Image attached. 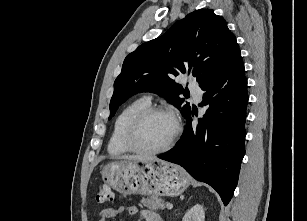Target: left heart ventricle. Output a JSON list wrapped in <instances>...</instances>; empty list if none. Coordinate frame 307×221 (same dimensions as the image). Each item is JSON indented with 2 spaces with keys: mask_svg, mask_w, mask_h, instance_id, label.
Masks as SVG:
<instances>
[{
  "mask_svg": "<svg viewBox=\"0 0 307 221\" xmlns=\"http://www.w3.org/2000/svg\"><path fill=\"white\" fill-rule=\"evenodd\" d=\"M175 129L174 120L165 114H154L141 124L136 142L145 149H156L163 146L172 136Z\"/></svg>",
  "mask_w": 307,
  "mask_h": 221,
  "instance_id": "1",
  "label": "left heart ventricle"
}]
</instances>
